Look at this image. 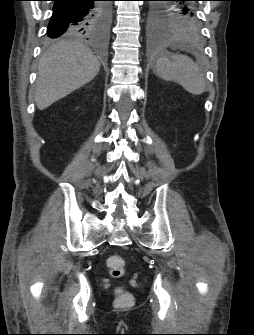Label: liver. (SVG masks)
<instances>
[{
  "mask_svg": "<svg viewBox=\"0 0 254 335\" xmlns=\"http://www.w3.org/2000/svg\"><path fill=\"white\" fill-rule=\"evenodd\" d=\"M100 62L89 47L76 41H59L41 57L35 103L43 110L97 75Z\"/></svg>",
  "mask_w": 254,
  "mask_h": 335,
  "instance_id": "1",
  "label": "liver"
}]
</instances>
